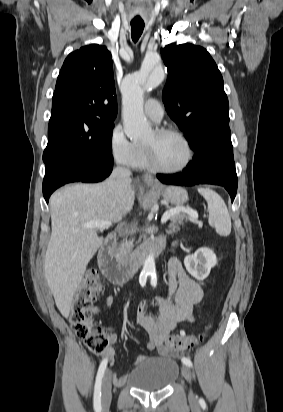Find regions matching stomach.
Masks as SVG:
<instances>
[{
	"mask_svg": "<svg viewBox=\"0 0 283 412\" xmlns=\"http://www.w3.org/2000/svg\"><path fill=\"white\" fill-rule=\"evenodd\" d=\"M157 190L161 193L163 198L172 205L180 206L188 200L187 191L178 186H169Z\"/></svg>",
	"mask_w": 283,
	"mask_h": 412,
	"instance_id": "obj_1",
	"label": "stomach"
}]
</instances>
